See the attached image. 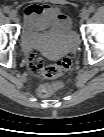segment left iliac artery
<instances>
[{
  "instance_id": "1",
  "label": "left iliac artery",
  "mask_w": 104,
  "mask_h": 137,
  "mask_svg": "<svg viewBox=\"0 0 104 137\" xmlns=\"http://www.w3.org/2000/svg\"><path fill=\"white\" fill-rule=\"evenodd\" d=\"M88 10H89L90 13H93V12L95 11V8H94L93 6H90V7L88 8Z\"/></svg>"
}]
</instances>
